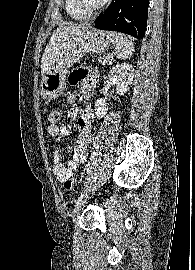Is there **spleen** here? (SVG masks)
<instances>
[{"label": "spleen", "mask_w": 195, "mask_h": 270, "mask_svg": "<svg viewBox=\"0 0 195 270\" xmlns=\"http://www.w3.org/2000/svg\"><path fill=\"white\" fill-rule=\"evenodd\" d=\"M112 43L117 51L119 59H128L134 52V45L129 39L121 33L109 32Z\"/></svg>", "instance_id": "obj_1"}]
</instances>
